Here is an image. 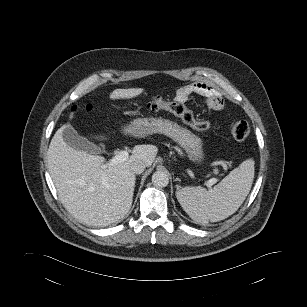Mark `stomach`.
I'll list each match as a JSON object with an SVG mask.
<instances>
[{
    "instance_id": "1",
    "label": "stomach",
    "mask_w": 307,
    "mask_h": 307,
    "mask_svg": "<svg viewBox=\"0 0 307 307\" xmlns=\"http://www.w3.org/2000/svg\"><path fill=\"white\" fill-rule=\"evenodd\" d=\"M127 128L137 137H145L153 133L165 134L177 142L187 153L190 160L197 164L204 161L202 140L177 123L161 117L139 118L131 122Z\"/></svg>"
}]
</instances>
